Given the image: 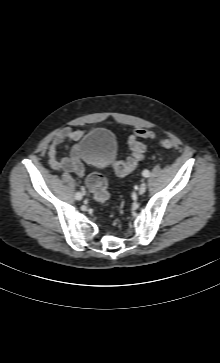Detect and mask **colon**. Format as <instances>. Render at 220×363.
I'll return each mask as SVG.
<instances>
[{
  "label": "colon",
  "mask_w": 220,
  "mask_h": 363,
  "mask_svg": "<svg viewBox=\"0 0 220 363\" xmlns=\"http://www.w3.org/2000/svg\"><path fill=\"white\" fill-rule=\"evenodd\" d=\"M153 137V132L147 129L140 128L133 132L128 139V146L131 151V155L126 161L113 162V168L117 175L127 176L138 167L139 163L145 158L147 150L146 145L141 141V139H152ZM160 144L166 149H173L176 146L175 140L171 138L162 139ZM86 184L97 202L101 204L107 202L109 198L107 182L99 172L91 173L87 177Z\"/></svg>",
  "instance_id": "5ec220e1"
}]
</instances>
